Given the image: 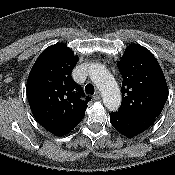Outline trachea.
Masks as SVG:
<instances>
[{"mask_svg":"<svg viewBox=\"0 0 175 175\" xmlns=\"http://www.w3.org/2000/svg\"><path fill=\"white\" fill-rule=\"evenodd\" d=\"M85 92H86L87 94L93 95L94 92H95L94 86H93L92 84H90V83L87 84V85L85 86Z\"/></svg>","mask_w":175,"mask_h":175,"instance_id":"trachea-1","label":"trachea"}]
</instances>
